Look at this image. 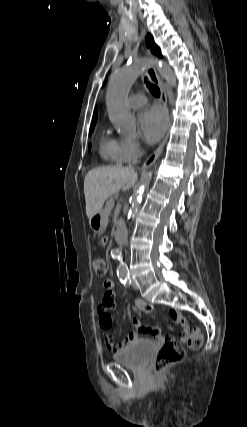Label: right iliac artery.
I'll return each mask as SVG.
<instances>
[{
	"label": "right iliac artery",
	"instance_id": "obj_1",
	"mask_svg": "<svg viewBox=\"0 0 247 427\" xmlns=\"http://www.w3.org/2000/svg\"><path fill=\"white\" fill-rule=\"evenodd\" d=\"M119 279H120V281H121L122 284H124V285H130L131 281H130L129 274H121L119 276Z\"/></svg>",
	"mask_w": 247,
	"mask_h": 427
}]
</instances>
